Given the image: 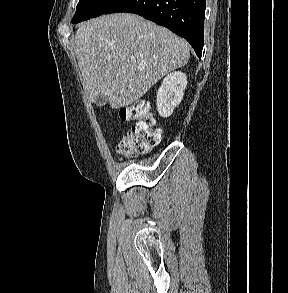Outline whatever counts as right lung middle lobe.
Wrapping results in <instances>:
<instances>
[{
	"label": "right lung middle lobe",
	"mask_w": 288,
	"mask_h": 293,
	"mask_svg": "<svg viewBox=\"0 0 288 293\" xmlns=\"http://www.w3.org/2000/svg\"><path fill=\"white\" fill-rule=\"evenodd\" d=\"M120 0H80L72 23H78L106 13Z\"/></svg>",
	"instance_id": "obj_1"
}]
</instances>
